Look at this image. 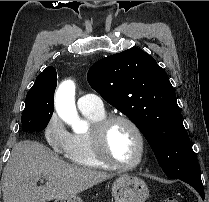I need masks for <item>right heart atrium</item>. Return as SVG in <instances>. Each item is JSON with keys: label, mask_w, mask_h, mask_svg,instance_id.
<instances>
[{"label": "right heart atrium", "mask_w": 209, "mask_h": 202, "mask_svg": "<svg viewBox=\"0 0 209 202\" xmlns=\"http://www.w3.org/2000/svg\"><path fill=\"white\" fill-rule=\"evenodd\" d=\"M43 135L46 142L58 153L65 154L69 148L71 134L56 113L48 118Z\"/></svg>", "instance_id": "d8ad5b80"}]
</instances>
